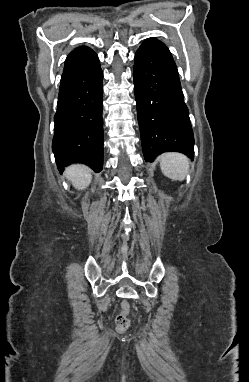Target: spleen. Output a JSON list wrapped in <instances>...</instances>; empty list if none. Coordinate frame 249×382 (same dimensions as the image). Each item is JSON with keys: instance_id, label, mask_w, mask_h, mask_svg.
I'll use <instances>...</instances> for the list:
<instances>
[{"instance_id": "3e777b00", "label": "spleen", "mask_w": 249, "mask_h": 382, "mask_svg": "<svg viewBox=\"0 0 249 382\" xmlns=\"http://www.w3.org/2000/svg\"><path fill=\"white\" fill-rule=\"evenodd\" d=\"M162 173L172 179L183 181L189 170V159L181 153H164L159 157Z\"/></svg>"}]
</instances>
